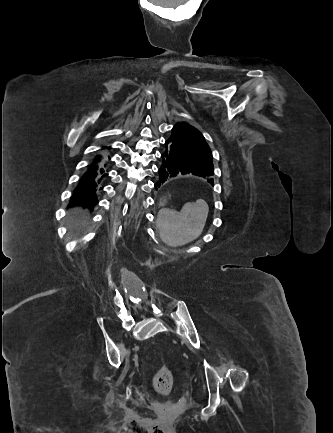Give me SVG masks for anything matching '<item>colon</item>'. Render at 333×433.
I'll list each match as a JSON object with an SVG mask.
<instances>
[{"mask_svg": "<svg viewBox=\"0 0 333 433\" xmlns=\"http://www.w3.org/2000/svg\"><path fill=\"white\" fill-rule=\"evenodd\" d=\"M153 385L157 393L163 397L170 394L173 385V376L167 365L161 364L153 377Z\"/></svg>", "mask_w": 333, "mask_h": 433, "instance_id": "obj_1", "label": "colon"}]
</instances>
